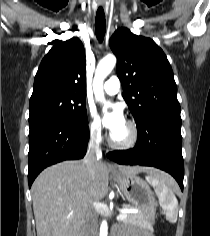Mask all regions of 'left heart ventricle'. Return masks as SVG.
I'll return each instance as SVG.
<instances>
[{
	"label": "left heart ventricle",
	"instance_id": "obj_1",
	"mask_svg": "<svg viewBox=\"0 0 210 236\" xmlns=\"http://www.w3.org/2000/svg\"><path fill=\"white\" fill-rule=\"evenodd\" d=\"M129 135L130 130L126 123H124L118 130L112 133L114 140L117 142L126 141Z\"/></svg>",
	"mask_w": 210,
	"mask_h": 236
}]
</instances>
